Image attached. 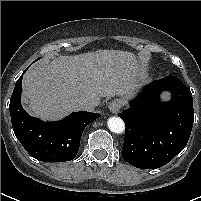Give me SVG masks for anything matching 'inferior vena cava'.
<instances>
[{"label": "inferior vena cava", "instance_id": "602c4592", "mask_svg": "<svg viewBox=\"0 0 201 201\" xmlns=\"http://www.w3.org/2000/svg\"><path fill=\"white\" fill-rule=\"evenodd\" d=\"M100 103L99 99L95 98H79L76 100V107L78 109L93 111Z\"/></svg>", "mask_w": 201, "mask_h": 201}]
</instances>
